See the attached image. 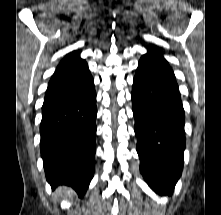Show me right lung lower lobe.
Listing matches in <instances>:
<instances>
[{
	"instance_id": "right-lung-lower-lobe-1",
	"label": "right lung lower lobe",
	"mask_w": 221,
	"mask_h": 215,
	"mask_svg": "<svg viewBox=\"0 0 221 215\" xmlns=\"http://www.w3.org/2000/svg\"><path fill=\"white\" fill-rule=\"evenodd\" d=\"M96 93L88 71L46 91L41 157L52 189L72 187L83 196L95 169Z\"/></svg>"
}]
</instances>
